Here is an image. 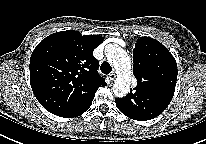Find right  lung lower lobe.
<instances>
[{
	"mask_svg": "<svg viewBox=\"0 0 206 144\" xmlns=\"http://www.w3.org/2000/svg\"><path fill=\"white\" fill-rule=\"evenodd\" d=\"M93 99H94V97L91 98L83 107H81L80 109L72 112V113L69 114L67 117H76V116H79V115H81L82 113H84V112H85L86 110H88L89 107L91 106Z\"/></svg>",
	"mask_w": 206,
	"mask_h": 144,
	"instance_id": "right-lung-lower-lobe-1",
	"label": "right lung lower lobe"
}]
</instances>
